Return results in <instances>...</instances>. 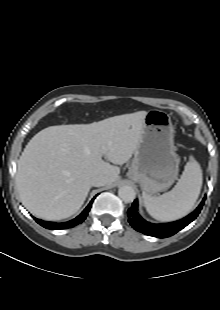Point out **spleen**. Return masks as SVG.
I'll return each instance as SVG.
<instances>
[{"instance_id": "3e777b00", "label": "spleen", "mask_w": 220, "mask_h": 310, "mask_svg": "<svg viewBox=\"0 0 220 310\" xmlns=\"http://www.w3.org/2000/svg\"><path fill=\"white\" fill-rule=\"evenodd\" d=\"M202 187V170L199 163L190 158L175 187L154 197L143 192L147 212L159 221H174L186 216L196 203Z\"/></svg>"}]
</instances>
